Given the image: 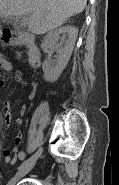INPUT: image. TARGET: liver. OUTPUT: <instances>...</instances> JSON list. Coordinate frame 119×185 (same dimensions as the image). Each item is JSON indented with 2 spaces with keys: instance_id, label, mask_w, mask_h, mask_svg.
Here are the masks:
<instances>
[{
  "instance_id": "6515ba94",
  "label": "liver",
  "mask_w": 119,
  "mask_h": 185,
  "mask_svg": "<svg viewBox=\"0 0 119 185\" xmlns=\"http://www.w3.org/2000/svg\"><path fill=\"white\" fill-rule=\"evenodd\" d=\"M86 3L87 0H0V15L7 18L26 15L29 30L42 35L81 13Z\"/></svg>"
}]
</instances>
